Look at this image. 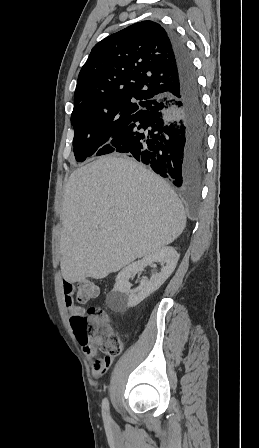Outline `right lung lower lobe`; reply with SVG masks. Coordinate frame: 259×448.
<instances>
[{
	"instance_id": "obj_1",
	"label": "right lung lower lobe",
	"mask_w": 259,
	"mask_h": 448,
	"mask_svg": "<svg viewBox=\"0 0 259 448\" xmlns=\"http://www.w3.org/2000/svg\"><path fill=\"white\" fill-rule=\"evenodd\" d=\"M177 89L150 104L111 141V152L141 161L176 187L198 186L205 168L206 125L197 77L184 42L167 29Z\"/></svg>"
}]
</instances>
